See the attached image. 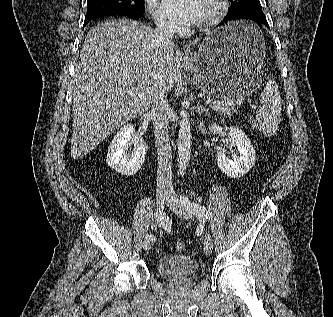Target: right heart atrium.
Listing matches in <instances>:
<instances>
[{
	"label": "right heart atrium",
	"mask_w": 333,
	"mask_h": 317,
	"mask_svg": "<svg viewBox=\"0 0 333 317\" xmlns=\"http://www.w3.org/2000/svg\"><path fill=\"white\" fill-rule=\"evenodd\" d=\"M149 9H150L151 15H152L155 23L160 28L167 29V30L174 29L173 26L159 13V11L157 10V8L153 2L150 3Z\"/></svg>",
	"instance_id": "1"
}]
</instances>
